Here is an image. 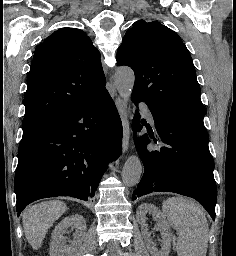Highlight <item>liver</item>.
Instances as JSON below:
<instances>
[{
  "mask_svg": "<svg viewBox=\"0 0 236 256\" xmlns=\"http://www.w3.org/2000/svg\"><path fill=\"white\" fill-rule=\"evenodd\" d=\"M67 208L60 200L41 202L28 208L23 214L25 238L33 250H39L51 226L65 214Z\"/></svg>",
  "mask_w": 236,
  "mask_h": 256,
  "instance_id": "liver-1",
  "label": "liver"
}]
</instances>
